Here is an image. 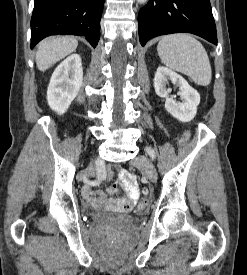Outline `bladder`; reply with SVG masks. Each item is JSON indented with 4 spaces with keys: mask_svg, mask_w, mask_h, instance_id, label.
<instances>
[{
    "mask_svg": "<svg viewBox=\"0 0 247 275\" xmlns=\"http://www.w3.org/2000/svg\"><path fill=\"white\" fill-rule=\"evenodd\" d=\"M91 220L95 224L102 226H128L135 221L133 216L105 211L92 212Z\"/></svg>",
    "mask_w": 247,
    "mask_h": 275,
    "instance_id": "obj_1",
    "label": "bladder"
}]
</instances>
